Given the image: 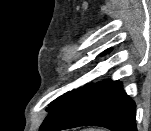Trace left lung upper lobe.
Listing matches in <instances>:
<instances>
[{"label":"left lung upper lobe","instance_id":"1","mask_svg":"<svg viewBox=\"0 0 151 131\" xmlns=\"http://www.w3.org/2000/svg\"><path fill=\"white\" fill-rule=\"evenodd\" d=\"M109 52V49H107L105 51V53H108ZM67 93L63 94L62 96L56 98L54 101H52L49 105H48V108H46V111L47 112H52L54 109H56L64 100L65 96H66Z\"/></svg>","mask_w":151,"mask_h":131}]
</instances>
